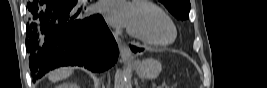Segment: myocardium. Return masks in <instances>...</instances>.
I'll list each match as a JSON object with an SVG mask.
<instances>
[{
  "label": "myocardium",
  "instance_id": "obj_1",
  "mask_svg": "<svg viewBox=\"0 0 267 88\" xmlns=\"http://www.w3.org/2000/svg\"><path fill=\"white\" fill-rule=\"evenodd\" d=\"M133 5H140V6H146L148 8L154 9L156 10L158 13H160L162 16H164L165 18L168 19V21L170 22L172 28H173V37L172 39H170L169 41H163V42H158V41H152L150 39H147L141 35H139L138 33L134 32L133 30H131L130 28L127 29V32L130 36L146 43L149 45H153V46H167L170 45L172 43L175 42V40L177 39V27L174 23V21L172 20V18L164 11L162 10L160 7L156 6L155 4H153L152 2L149 1H144V0H137L133 2Z\"/></svg>",
  "mask_w": 267,
  "mask_h": 88
}]
</instances>
